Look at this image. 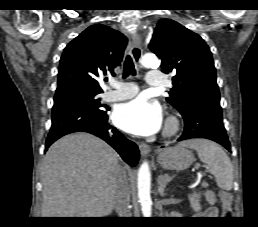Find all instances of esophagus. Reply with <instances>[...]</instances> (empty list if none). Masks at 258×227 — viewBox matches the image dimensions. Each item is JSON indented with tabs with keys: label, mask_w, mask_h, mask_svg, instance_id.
Masks as SVG:
<instances>
[{
	"label": "esophagus",
	"mask_w": 258,
	"mask_h": 227,
	"mask_svg": "<svg viewBox=\"0 0 258 227\" xmlns=\"http://www.w3.org/2000/svg\"><path fill=\"white\" fill-rule=\"evenodd\" d=\"M130 49H131V54H132V57L134 58V61L136 63H139L142 56L141 40L139 36L133 37L130 43ZM139 149L142 156H146L151 150L150 146L145 143H141L139 145Z\"/></svg>",
	"instance_id": "esophagus-1"
}]
</instances>
